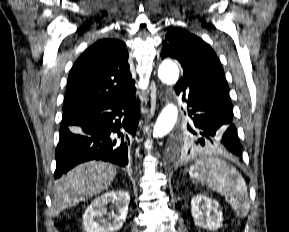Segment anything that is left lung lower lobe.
Segmentation results:
<instances>
[{
  "label": "left lung lower lobe",
  "mask_w": 289,
  "mask_h": 232,
  "mask_svg": "<svg viewBox=\"0 0 289 232\" xmlns=\"http://www.w3.org/2000/svg\"><path fill=\"white\" fill-rule=\"evenodd\" d=\"M175 91L177 94L183 92L182 99L187 102L188 115L193 116V123L191 127L188 126V130L195 137L193 143L205 148L200 152L239 157L240 141L232 122L233 107L230 98L180 81L176 84Z\"/></svg>",
  "instance_id": "left-lung-lower-lobe-1"
}]
</instances>
